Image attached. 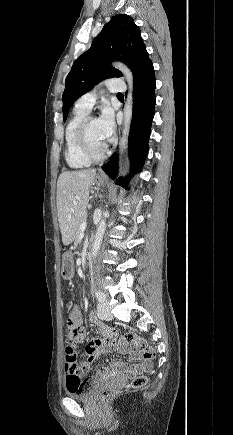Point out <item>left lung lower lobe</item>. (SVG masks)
<instances>
[{
	"mask_svg": "<svg viewBox=\"0 0 233 435\" xmlns=\"http://www.w3.org/2000/svg\"><path fill=\"white\" fill-rule=\"evenodd\" d=\"M155 83L156 80L152 63L134 80L133 114L129 135V156L132 174L142 168L148 154L151 124L155 114ZM117 160L118 157L114 155L112 159L102 167L112 178L117 172ZM117 184L126 186L127 180H118Z\"/></svg>",
	"mask_w": 233,
	"mask_h": 435,
	"instance_id": "0a47b994",
	"label": "left lung lower lobe"
}]
</instances>
